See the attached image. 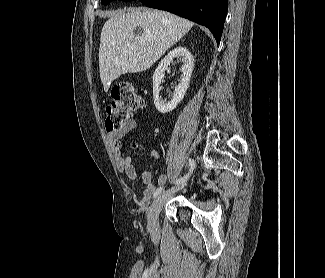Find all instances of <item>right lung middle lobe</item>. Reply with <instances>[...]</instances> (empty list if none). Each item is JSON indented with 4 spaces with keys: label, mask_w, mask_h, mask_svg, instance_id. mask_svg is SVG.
<instances>
[{
    "label": "right lung middle lobe",
    "mask_w": 325,
    "mask_h": 278,
    "mask_svg": "<svg viewBox=\"0 0 325 278\" xmlns=\"http://www.w3.org/2000/svg\"><path fill=\"white\" fill-rule=\"evenodd\" d=\"M113 0H101L102 4L107 5L109 2ZM123 1H133V0H123Z\"/></svg>",
    "instance_id": "dd1d6c3e"
}]
</instances>
